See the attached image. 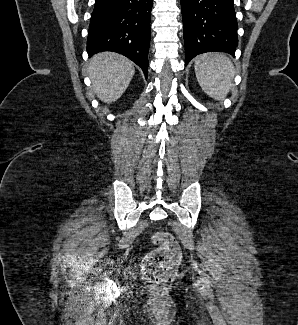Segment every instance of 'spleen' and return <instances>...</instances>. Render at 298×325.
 <instances>
[{
	"label": "spleen",
	"mask_w": 298,
	"mask_h": 325,
	"mask_svg": "<svg viewBox=\"0 0 298 325\" xmlns=\"http://www.w3.org/2000/svg\"><path fill=\"white\" fill-rule=\"evenodd\" d=\"M196 78L204 92L214 100H222L232 86L233 62L221 52H206L196 56L194 62Z\"/></svg>",
	"instance_id": "1"
}]
</instances>
